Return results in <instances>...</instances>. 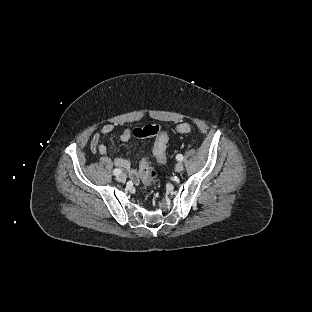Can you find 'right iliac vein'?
I'll list each match as a JSON object with an SVG mask.
<instances>
[{"instance_id": "obj_1", "label": "right iliac vein", "mask_w": 312, "mask_h": 312, "mask_svg": "<svg viewBox=\"0 0 312 312\" xmlns=\"http://www.w3.org/2000/svg\"><path fill=\"white\" fill-rule=\"evenodd\" d=\"M126 178H127L126 174L121 173V174L118 175L117 180H118L119 182H125V181H126Z\"/></svg>"}]
</instances>
